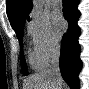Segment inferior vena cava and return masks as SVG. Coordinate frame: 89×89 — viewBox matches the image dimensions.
Instances as JSON below:
<instances>
[{
    "instance_id": "inferior-vena-cava-1",
    "label": "inferior vena cava",
    "mask_w": 89,
    "mask_h": 89,
    "mask_svg": "<svg viewBox=\"0 0 89 89\" xmlns=\"http://www.w3.org/2000/svg\"><path fill=\"white\" fill-rule=\"evenodd\" d=\"M59 58L60 45L59 43H56L51 54L50 68L48 70V73L51 74L52 76H55L56 78H60ZM58 89H61V87H58Z\"/></svg>"
}]
</instances>
